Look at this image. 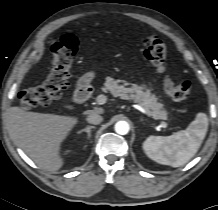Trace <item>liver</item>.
<instances>
[{
    "mask_svg": "<svg viewBox=\"0 0 218 210\" xmlns=\"http://www.w3.org/2000/svg\"><path fill=\"white\" fill-rule=\"evenodd\" d=\"M93 111L103 113L101 108ZM11 122L18 144L39 167L56 172L63 166L61 144L78 123L77 117L28 112L16 106Z\"/></svg>",
    "mask_w": 218,
    "mask_h": 210,
    "instance_id": "6515ba94",
    "label": "liver"
}]
</instances>
